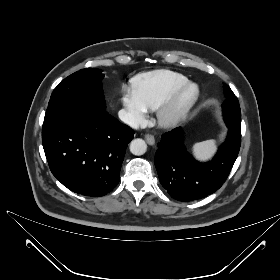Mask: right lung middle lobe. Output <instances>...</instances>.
<instances>
[{"mask_svg": "<svg viewBox=\"0 0 280 280\" xmlns=\"http://www.w3.org/2000/svg\"><path fill=\"white\" fill-rule=\"evenodd\" d=\"M103 78L101 70L92 68L82 69L66 77L54 89L45 117L65 109L105 110Z\"/></svg>", "mask_w": 280, "mask_h": 280, "instance_id": "obj_1", "label": "right lung middle lobe"}]
</instances>
